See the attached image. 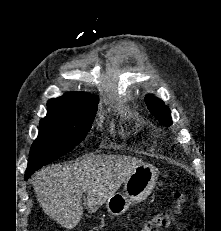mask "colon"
I'll return each instance as SVG.
<instances>
[{
  "instance_id": "colon-1",
  "label": "colon",
  "mask_w": 221,
  "mask_h": 231,
  "mask_svg": "<svg viewBox=\"0 0 221 231\" xmlns=\"http://www.w3.org/2000/svg\"><path fill=\"white\" fill-rule=\"evenodd\" d=\"M185 196L182 192H176L174 205L171 210L162 212L147 220L140 231H161L171 226L182 209Z\"/></svg>"
}]
</instances>
